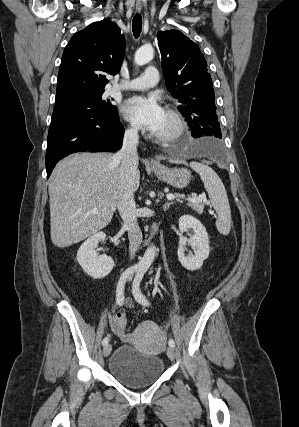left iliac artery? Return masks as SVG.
<instances>
[{"mask_svg":"<svg viewBox=\"0 0 299 427\" xmlns=\"http://www.w3.org/2000/svg\"><path fill=\"white\" fill-rule=\"evenodd\" d=\"M145 272L146 271L144 269H138L136 276L134 278V281H133L132 292H133V295H134L135 299L137 300V302H139L142 305L149 306L150 303H149L148 299L145 297V295L140 290V283L144 277ZM168 344L171 347H175V342L173 339H170L168 341Z\"/></svg>","mask_w":299,"mask_h":427,"instance_id":"left-iliac-artery-1","label":"left iliac artery"}]
</instances>
